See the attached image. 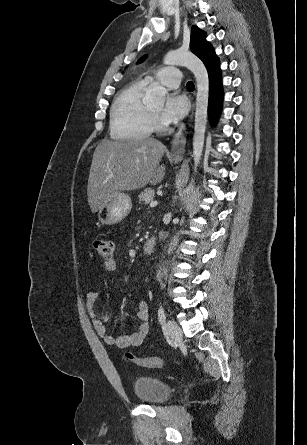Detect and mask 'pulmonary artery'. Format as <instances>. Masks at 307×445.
<instances>
[{
  "label": "pulmonary artery",
  "instance_id": "obj_1",
  "mask_svg": "<svg viewBox=\"0 0 307 445\" xmlns=\"http://www.w3.org/2000/svg\"><path fill=\"white\" fill-rule=\"evenodd\" d=\"M153 79H158L163 84L171 88L178 87L181 81H187V78L184 77L183 70L176 67L161 69L155 72L153 75L147 77L148 81H152Z\"/></svg>",
  "mask_w": 307,
  "mask_h": 445
}]
</instances>
